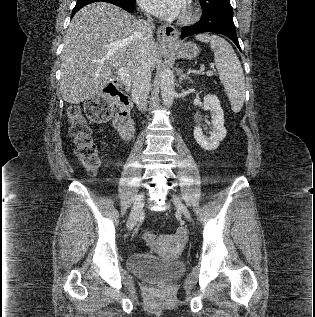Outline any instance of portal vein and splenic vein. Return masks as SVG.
I'll return each instance as SVG.
<instances>
[{"label": "portal vein and splenic vein", "mask_w": 315, "mask_h": 317, "mask_svg": "<svg viewBox=\"0 0 315 317\" xmlns=\"http://www.w3.org/2000/svg\"><path fill=\"white\" fill-rule=\"evenodd\" d=\"M118 77L119 79L124 83V84H130V80H129V75L125 73L123 68H119L118 69ZM207 76H212L213 75V71H207Z\"/></svg>", "instance_id": "1"}]
</instances>
